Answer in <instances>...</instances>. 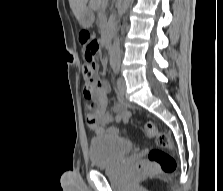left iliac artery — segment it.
Segmentation results:
<instances>
[{
    "label": "left iliac artery",
    "mask_w": 223,
    "mask_h": 191,
    "mask_svg": "<svg viewBox=\"0 0 223 191\" xmlns=\"http://www.w3.org/2000/svg\"><path fill=\"white\" fill-rule=\"evenodd\" d=\"M113 70H114L116 73H118V71H119V64L114 65V66H113Z\"/></svg>",
    "instance_id": "left-iliac-artery-1"
}]
</instances>
